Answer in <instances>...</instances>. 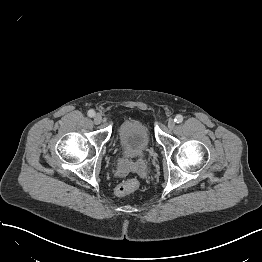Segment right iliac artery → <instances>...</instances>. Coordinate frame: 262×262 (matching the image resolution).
Segmentation results:
<instances>
[{
	"mask_svg": "<svg viewBox=\"0 0 262 262\" xmlns=\"http://www.w3.org/2000/svg\"><path fill=\"white\" fill-rule=\"evenodd\" d=\"M94 115H95V111L94 110H89L88 111V116L89 117H94Z\"/></svg>",
	"mask_w": 262,
	"mask_h": 262,
	"instance_id": "obj_1",
	"label": "right iliac artery"
}]
</instances>
